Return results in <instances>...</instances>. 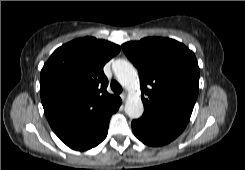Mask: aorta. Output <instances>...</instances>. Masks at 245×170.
Wrapping results in <instances>:
<instances>
[{
	"instance_id": "obj_1",
	"label": "aorta",
	"mask_w": 245,
	"mask_h": 170,
	"mask_svg": "<svg viewBox=\"0 0 245 170\" xmlns=\"http://www.w3.org/2000/svg\"><path fill=\"white\" fill-rule=\"evenodd\" d=\"M113 71L118 82L128 90L129 95L125 102V112L133 119L140 118L144 111L142 100L135 89L138 85V76L134 66L126 60H116Z\"/></svg>"
}]
</instances>
